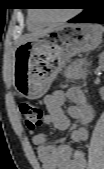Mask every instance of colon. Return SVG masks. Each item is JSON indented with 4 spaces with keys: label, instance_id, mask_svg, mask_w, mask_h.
I'll return each mask as SVG.
<instances>
[{
    "label": "colon",
    "instance_id": "colon-1",
    "mask_svg": "<svg viewBox=\"0 0 104 169\" xmlns=\"http://www.w3.org/2000/svg\"><path fill=\"white\" fill-rule=\"evenodd\" d=\"M18 110L25 127L29 131H35L41 125L43 110L40 106L29 102H21Z\"/></svg>",
    "mask_w": 104,
    "mask_h": 169
}]
</instances>
